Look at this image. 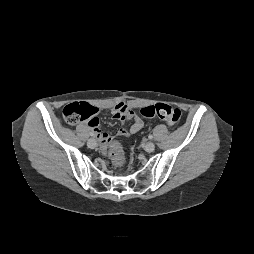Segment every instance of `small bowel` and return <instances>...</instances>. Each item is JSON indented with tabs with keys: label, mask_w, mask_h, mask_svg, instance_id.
I'll return each mask as SVG.
<instances>
[{
	"label": "small bowel",
	"mask_w": 254,
	"mask_h": 254,
	"mask_svg": "<svg viewBox=\"0 0 254 254\" xmlns=\"http://www.w3.org/2000/svg\"><path fill=\"white\" fill-rule=\"evenodd\" d=\"M112 111L115 118L121 123V127L117 132L118 136L127 137L129 135L138 133L144 128L143 120L138 117L134 109L126 103L122 101L117 102ZM130 120H133V124L131 125L130 129L127 130L126 123ZM89 126L92 128L93 134L100 141V146L102 149H106L113 144L114 138L109 133L101 130L98 117L90 122Z\"/></svg>",
	"instance_id": "obj_1"
}]
</instances>
